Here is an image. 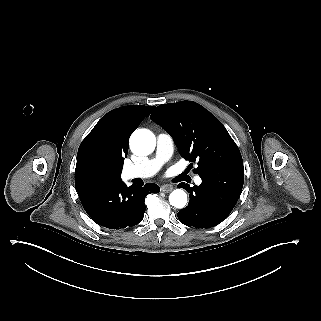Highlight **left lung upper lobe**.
<instances>
[{
	"label": "left lung upper lobe",
	"instance_id": "1",
	"mask_svg": "<svg viewBox=\"0 0 321 321\" xmlns=\"http://www.w3.org/2000/svg\"><path fill=\"white\" fill-rule=\"evenodd\" d=\"M150 118L172 136L184 159L198 161L194 170L198 174L221 165L243 163L222 123L195 102L160 105Z\"/></svg>",
	"mask_w": 321,
	"mask_h": 321
}]
</instances>
